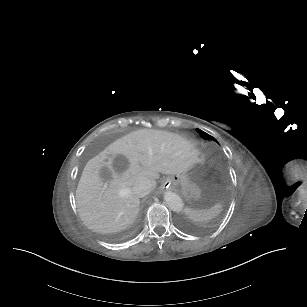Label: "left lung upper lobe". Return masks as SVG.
<instances>
[{
	"label": "left lung upper lobe",
	"mask_w": 307,
	"mask_h": 307,
	"mask_svg": "<svg viewBox=\"0 0 307 307\" xmlns=\"http://www.w3.org/2000/svg\"><path fill=\"white\" fill-rule=\"evenodd\" d=\"M197 132H198V133L201 135V137L204 138V139H208V140L214 139L212 136H210L209 134L203 132L202 130L197 129Z\"/></svg>",
	"instance_id": "obj_1"
}]
</instances>
